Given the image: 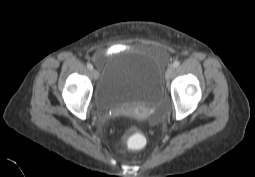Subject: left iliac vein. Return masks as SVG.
Here are the masks:
<instances>
[{"mask_svg":"<svg viewBox=\"0 0 255 177\" xmlns=\"http://www.w3.org/2000/svg\"><path fill=\"white\" fill-rule=\"evenodd\" d=\"M173 73H174V67L169 66L165 72V79L169 80L172 77Z\"/></svg>","mask_w":255,"mask_h":177,"instance_id":"left-iliac-vein-1","label":"left iliac vein"}]
</instances>
